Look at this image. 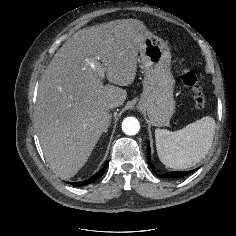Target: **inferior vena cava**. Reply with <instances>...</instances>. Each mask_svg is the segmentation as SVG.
<instances>
[{"label":"inferior vena cava","mask_w":236,"mask_h":236,"mask_svg":"<svg viewBox=\"0 0 236 236\" xmlns=\"http://www.w3.org/2000/svg\"><path fill=\"white\" fill-rule=\"evenodd\" d=\"M115 107H117V104L114 103V102L109 103V104L107 105V108H108V109H112V108H115Z\"/></svg>","instance_id":"inferior-vena-cava-1"}]
</instances>
